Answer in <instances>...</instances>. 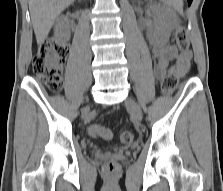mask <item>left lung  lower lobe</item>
<instances>
[{
	"label": "left lung lower lobe",
	"instance_id": "0a47b994",
	"mask_svg": "<svg viewBox=\"0 0 223 191\" xmlns=\"http://www.w3.org/2000/svg\"><path fill=\"white\" fill-rule=\"evenodd\" d=\"M192 0H188L189 5L191 4Z\"/></svg>",
	"mask_w": 223,
	"mask_h": 191
}]
</instances>
